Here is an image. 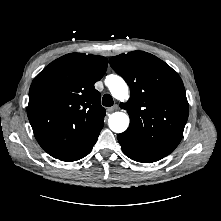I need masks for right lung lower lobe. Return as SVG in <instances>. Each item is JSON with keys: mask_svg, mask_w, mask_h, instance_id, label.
I'll return each mask as SVG.
<instances>
[{"mask_svg": "<svg viewBox=\"0 0 221 221\" xmlns=\"http://www.w3.org/2000/svg\"><path fill=\"white\" fill-rule=\"evenodd\" d=\"M103 128L100 127L95 133L94 135L84 144V146H82L81 148H79L78 150L68 154V155H65L63 157H60L58 158L59 160H62V161H66V162H71V161H77L79 159H82L83 157H85L86 155L89 154V152L91 151L92 147L94 146L98 136H99V133L101 131V129Z\"/></svg>", "mask_w": 221, "mask_h": 221, "instance_id": "1", "label": "right lung lower lobe"}]
</instances>
